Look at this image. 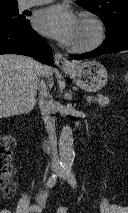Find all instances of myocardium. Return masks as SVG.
Returning a JSON list of instances; mask_svg holds the SVG:
<instances>
[{
	"label": "myocardium",
	"instance_id": "1",
	"mask_svg": "<svg viewBox=\"0 0 128 213\" xmlns=\"http://www.w3.org/2000/svg\"><path fill=\"white\" fill-rule=\"evenodd\" d=\"M81 22L90 24L95 31L94 37L87 43L80 45H71L70 49L73 52H89L101 45L105 38V27L103 22L94 14L83 13L80 18Z\"/></svg>",
	"mask_w": 128,
	"mask_h": 213
}]
</instances>
